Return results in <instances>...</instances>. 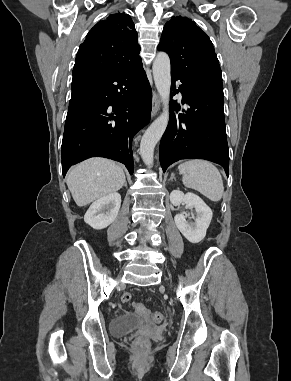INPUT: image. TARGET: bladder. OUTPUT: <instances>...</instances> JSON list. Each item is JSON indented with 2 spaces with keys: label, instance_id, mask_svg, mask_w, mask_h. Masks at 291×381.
<instances>
[{
  "label": "bladder",
  "instance_id": "1",
  "mask_svg": "<svg viewBox=\"0 0 291 381\" xmlns=\"http://www.w3.org/2000/svg\"><path fill=\"white\" fill-rule=\"evenodd\" d=\"M151 323L145 317L135 314H120L110 322V332L115 336H123L139 328L149 327Z\"/></svg>",
  "mask_w": 291,
  "mask_h": 381
}]
</instances>
